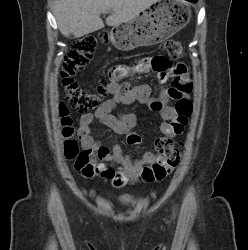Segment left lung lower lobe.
Instances as JSON below:
<instances>
[{"label":"left lung lower lobe","instance_id":"left-lung-lower-lobe-1","mask_svg":"<svg viewBox=\"0 0 248 250\" xmlns=\"http://www.w3.org/2000/svg\"><path fill=\"white\" fill-rule=\"evenodd\" d=\"M188 1L196 2L197 0H188Z\"/></svg>","mask_w":248,"mask_h":250}]
</instances>
